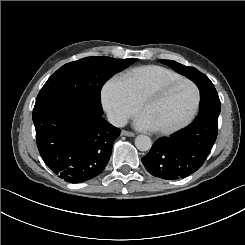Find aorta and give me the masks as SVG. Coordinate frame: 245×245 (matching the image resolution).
<instances>
[{"instance_id": "obj_1", "label": "aorta", "mask_w": 245, "mask_h": 245, "mask_svg": "<svg viewBox=\"0 0 245 245\" xmlns=\"http://www.w3.org/2000/svg\"><path fill=\"white\" fill-rule=\"evenodd\" d=\"M135 146L140 151H148L151 149L152 141L151 139L146 135H138L135 138Z\"/></svg>"}]
</instances>
